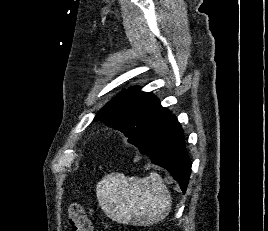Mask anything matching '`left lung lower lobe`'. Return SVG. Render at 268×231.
I'll list each match as a JSON object with an SVG mask.
<instances>
[{
  "label": "left lung lower lobe",
  "instance_id": "left-lung-lower-lobe-1",
  "mask_svg": "<svg viewBox=\"0 0 268 231\" xmlns=\"http://www.w3.org/2000/svg\"><path fill=\"white\" fill-rule=\"evenodd\" d=\"M152 163L168 170L185 193L191 162L187 155L183 130L172 113L144 140L134 144Z\"/></svg>",
  "mask_w": 268,
  "mask_h": 231
}]
</instances>
